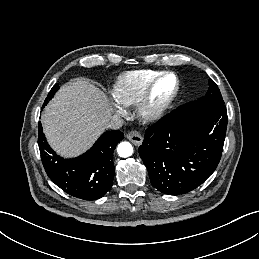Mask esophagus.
<instances>
[{"label":"esophagus","mask_w":259,"mask_h":259,"mask_svg":"<svg viewBox=\"0 0 259 259\" xmlns=\"http://www.w3.org/2000/svg\"><path fill=\"white\" fill-rule=\"evenodd\" d=\"M127 138L137 146L141 145L143 141V137L138 131H130Z\"/></svg>","instance_id":"esophagus-1"}]
</instances>
